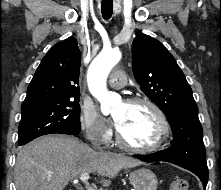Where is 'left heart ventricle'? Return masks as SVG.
<instances>
[{"label":"left heart ventricle","mask_w":221,"mask_h":190,"mask_svg":"<svg viewBox=\"0 0 221 190\" xmlns=\"http://www.w3.org/2000/svg\"><path fill=\"white\" fill-rule=\"evenodd\" d=\"M114 116L120 120L118 130L128 143L146 146L155 141L159 125L155 113L148 106L121 103Z\"/></svg>","instance_id":"obj_1"}]
</instances>
